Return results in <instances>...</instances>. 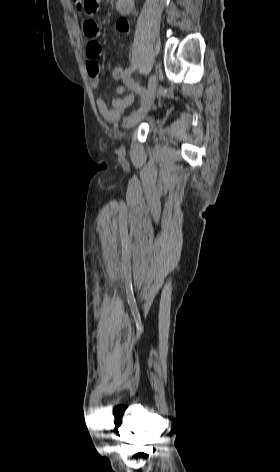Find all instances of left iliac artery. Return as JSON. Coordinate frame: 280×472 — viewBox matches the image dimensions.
Segmentation results:
<instances>
[{
    "instance_id": "44dca946",
    "label": "left iliac artery",
    "mask_w": 280,
    "mask_h": 472,
    "mask_svg": "<svg viewBox=\"0 0 280 472\" xmlns=\"http://www.w3.org/2000/svg\"><path fill=\"white\" fill-rule=\"evenodd\" d=\"M134 69L133 66L126 68L123 72L122 79L127 89L134 91L141 97V105H143L147 98V90L133 80L131 75L134 72Z\"/></svg>"
}]
</instances>
